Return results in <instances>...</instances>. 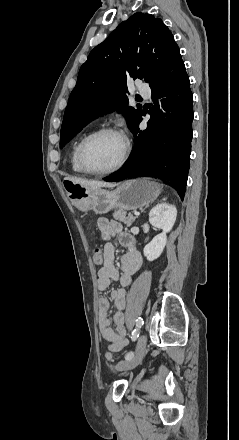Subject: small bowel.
Wrapping results in <instances>:
<instances>
[{"instance_id":"obj_1","label":"small bowel","mask_w":239,"mask_h":440,"mask_svg":"<svg viewBox=\"0 0 239 440\" xmlns=\"http://www.w3.org/2000/svg\"><path fill=\"white\" fill-rule=\"evenodd\" d=\"M98 229L100 239L105 242V245L103 249V266L98 271L97 287L100 291H105L111 281H119L121 284V288L110 293V298L116 308V313L112 319L108 316L110 308L109 299L106 297L98 299L99 331L109 350L120 352L128 343L125 336V316L123 313L126 305L125 288L132 285L133 275L141 267L142 256L137 248L135 239L130 234L123 232L120 223L100 218L98 220ZM114 240H117L127 250L120 258L121 273L113 262L116 251Z\"/></svg>"}]
</instances>
